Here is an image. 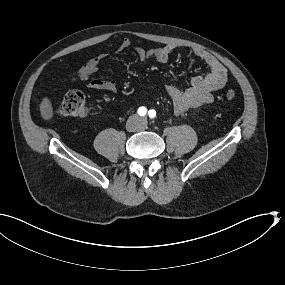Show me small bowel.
Returning a JSON list of instances; mask_svg holds the SVG:
<instances>
[{
  "instance_id": "1",
  "label": "small bowel",
  "mask_w": 285,
  "mask_h": 285,
  "mask_svg": "<svg viewBox=\"0 0 285 285\" xmlns=\"http://www.w3.org/2000/svg\"><path fill=\"white\" fill-rule=\"evenodd\" d=\"M128 39H124L117 47V52H123L130 47ZM175 47L166 45L160 48L145 49L136 47L135 52L142 61L156 60L160 63H167ZM193 54L202 60L209 71L204 76L192 77L186 89H180L173 85L165 87L166 93L171 98L176 114H182L190 109L210 104L214 100L213 93L222 89L227 81V70L224 65L212 54L201 48H194ZM104 56L89 59L80 71V79L86 80L94 74ZM87 87L96 91L115 93L117 84L112 80L93 79L87 83Z\"/></svg>"
}]
</instances>
